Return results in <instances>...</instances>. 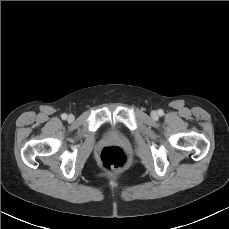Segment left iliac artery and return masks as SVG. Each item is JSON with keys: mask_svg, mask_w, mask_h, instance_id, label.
I'll list each match as a JSON object with an SVG mask.
<instances>
[{"mask_svg": "<svg viewBox=\"0 0 229 229\" xmlns=\"http://www.w3.org/2000/svg\"><path fill=\"white\" fill-rule=\"evenodd\" d=\"M163 114H164L163 110L159 109V110H158V115H159V116H162Z\"/></svg>", "mask_w": 229, "mask_h": 229, "instance_id": "obj_1", "label": "left iliac artery"}]
</instances>
